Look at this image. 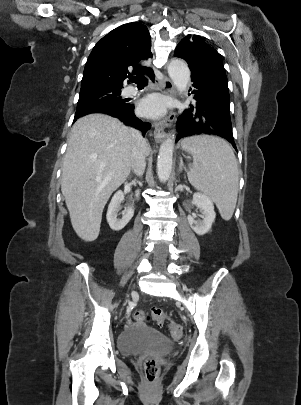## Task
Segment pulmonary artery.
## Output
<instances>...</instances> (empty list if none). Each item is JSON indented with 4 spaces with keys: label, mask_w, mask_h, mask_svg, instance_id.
Masks as SVG:
<instances>
[{
    "label": "pulmonary artery",
    "mask_w": 301,
    "mask_h": 405,
    "mask_svg": "<svg viewBox=\"0 0 301 405\" xmlns=\"http://www.w3.org/2000/svg\"><path fill=\"white\" fill-rule=\"evenodd\" d=\"M137 93V89L134 87H127L123 90L125 96H131Z\"/></svg>",
    "instance_id": "pulmonary-artery-1"
}]
</instances>
